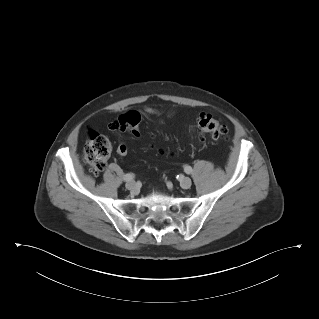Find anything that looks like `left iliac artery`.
<instances>
[{
  "label": "left iliac artery",
  "mask_w": 319,
  "mask_h": 319,
  "mask_svg": "<svg viewBox=\"0 0 319 319\" xmlns=\"http://www.w3.org/2000/svg\"><path fill=\"white\" fill-rule=\"evenodd\" d=\"M184 170H185V172H186L187 174L192 173V167H191V166H185Z\"/></svg>",
  "instance_id": "left-iliac-artery-1"
}]
</instances>
